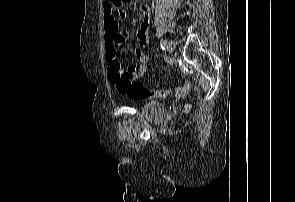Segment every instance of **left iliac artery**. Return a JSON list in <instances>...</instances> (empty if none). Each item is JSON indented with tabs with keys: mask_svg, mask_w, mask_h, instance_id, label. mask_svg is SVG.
<instances>
[{
	"mask_svg": "<svg viewBox=\"0 0 295 202\" xmlns=\"http://www.w3.org/2000/svg\"><path fill=\"white\" fill-rule=\"evenodd\" d=\"M160 46H161V49H162V50H165V47H166V41H165V40H161V41H160Z\"/></svg>",
	"mask_w": 295,
	"mask_h": 202,
	"instance_id": "left-iliac-artery-1",
	"label": "left iliac artery"
}]
</instances>
